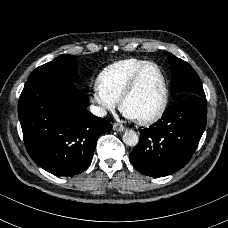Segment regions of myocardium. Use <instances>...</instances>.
Returning <instances> with one entry per match:
<instances>
[{
    "instance_id": "obj_1",
    "label": "myocardium",
    "mask_w": 228,
    "mask_h": 228,
    "mask_svg": "<svg viewBox=\"0 0 228 228\" xmlns=\"http://www.w3.org/2000/svg\"><path fill=\"white\" fill-rule=\"evenodd\" d=\"M150 68L157 69L162 77L163 86H164V99H163L162 106L154 115H152L148 118H144V119H135L134 118L135 122L140 125H150V124L156 123L164 116V114L166 113L168 106H169L170 92H169V84H168L167 76H166L163 68L159 64L152 62V63H149V64L143 66L134 74L128 87L126 88V90L124 91L123 95L120 98V109L124 114H127L126 110H125L126 102L135 93V91L137 90V88L139 86L142 76Z\"/></svg>"
}]
</instances>
